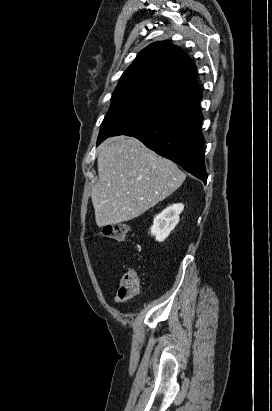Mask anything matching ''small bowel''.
Here are the masks:
<instances>
[{
  "label": "small bowel",
  "instance_id": "c3829d8e",
  "mask_svg": "<svg viewBox=\"0 0 272 411\" xmlns=\"http://www.w3.org/2000/svg\"><path fill=\"white\" fill-rule=\"evenodd\" d=\"M114 300L116 303H119L121 301L117 296L114 297Z\"/></svg>",
  "mask_w": 272,
  "mask_h": 411
}]
</instances>
